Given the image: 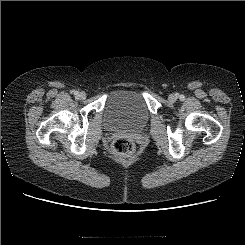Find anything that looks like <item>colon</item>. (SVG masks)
<instances>
[{
	"label": "colon",
	"instance_id": "colon-1",
	"mask_svg": "<svg viewBox=\"0 0 245 245\" xmlns=\"http://www.w3.org/2000/svg\"><path fill=\"white\" fill-rule=\"evenodd\" d=\"M113 151L118 155H129L135 149V144L132 139L127 137L117 138L112 144Z\"/></svg>",
	"mask_w": 245,
	"mask_h": 245
}]
</instances>
